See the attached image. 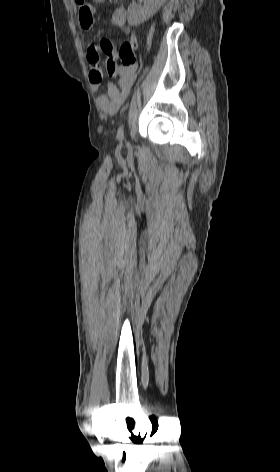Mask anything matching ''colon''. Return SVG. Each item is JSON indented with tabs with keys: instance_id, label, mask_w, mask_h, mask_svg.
Listing matches in <instances>:
<instances>
[{
	"instance_id": "5ec220e1",
	"label": "colon",
	"mask_w": 280,
	"mask_h": 472,
	"mask_svg": "<svg viewBox=\"0 0 280 472\" xmlns=\"http://www.w3.org/2000/svg\"><path fill=\"white\" fill-rule=\"evenodd\" d=\"M119 57L123 65L131 66L136 64L135 59V46L129 40L122 43L119 49ZM106 70L109 76H117V64L114 61L106 62Z\"/></svg>"
}]
</instances>
